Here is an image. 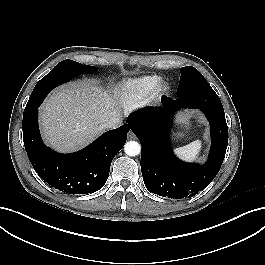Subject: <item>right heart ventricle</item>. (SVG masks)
Wrapping results in <instances>:
<instances>
[{"instance_id":"right-heart-ventricle-1","label":"right heart ventricle","mask_w":265,"mask_h":265,"mask_svg":"<svg viewBox=\"0 0 265 265\" xmlns=\"http://www.w3.org/2000/svg\"><path fill=\"white\" fill-rule=\"evenodd\" d=\"M159 78L145 76L127 81L119 92V103L122 108L130 110L138 106L156 87Z\"/></svg>"}]
</instances>
